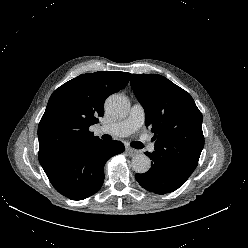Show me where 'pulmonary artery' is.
Here are the masks:
<instances>
[{"mask_svg": "<svg viewBox=\"0 0 248 248\" xmlns=\"http://www.w3.org/2000/svg\"><path fill=\"white\" fill-rule=\"evenodd\" d=\"M145 121V111L141 104L135 103L129 112V115L120 121L102 125L98 131L104 134H111L116 137H124L139 129Z\"/></svg>", "mask_w": 248, "mask_h": 248, "instance_id": "obj_1", "label": "pulmonary artery"}]
</instances>
